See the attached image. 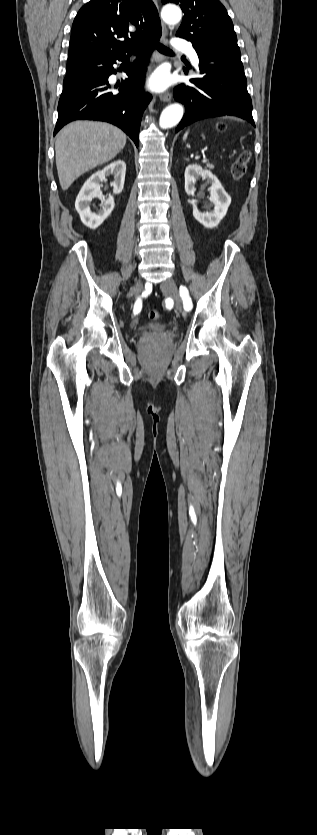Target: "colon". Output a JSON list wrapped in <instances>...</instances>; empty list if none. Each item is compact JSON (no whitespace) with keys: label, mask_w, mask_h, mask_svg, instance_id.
<instances>
[{"label":"colon","mask_w":317,"mask_h":835,"mask_svg":"<svg viewBox=\"0 0 317 835\" xmlns=\"http://www.w3.org/2000/svg\"><path fill=\"white\" fill-rule=\"evenodd\" d=\"M251 154L248 150L243 151L238 158L232 163L231 165V175L235 180L242 179L247 170L250 163ZM148 316L151 320L157 321L160 319V313L156 310H151L148 313Z\"/></svg>","instance_id":"obj_1"}]
</instances>
